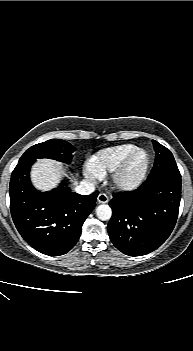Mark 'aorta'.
I'll use <instances>...</instances> for the list:
<instances>
[{
    "mask_svg": "<svg viewBox=\"0 0 193 351\" xmlns=\"http://www.w3.org/2000/svg\"><path fill=\"white\" fill-rule=\"evenodd\" d=\"M96 216L102 220H109L112 216V210L109 205L101 204L96 208Z\"/></svg>",
    "mask_w": 193,
    "mask_h": 351,
    "instance_id": "1",
    "label": "aorta"
}]
</instances>
